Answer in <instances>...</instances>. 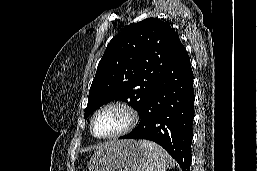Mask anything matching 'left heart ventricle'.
I'll list each match as a JSON object with an SVG mask.
<instances>
[{"label":"left heart ventricle","mask_w":257,"mask_h":171,"mask_svg":"<svg viewBox=\"0 0 257 171\" xmlns=\"http://www.w3.org/2000/svg\"><path fill=\"white\" fill-rule=\"evenodd\" d=\"M128 122L125 112L112 108L101 112L95 119L94 132L99 136L113 134L122 129Z\"/></svg>","instance_id":"obj_1"}]
</instances>
